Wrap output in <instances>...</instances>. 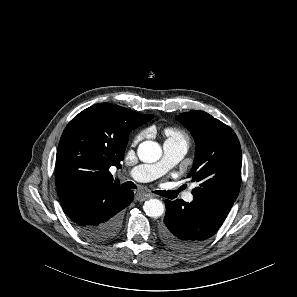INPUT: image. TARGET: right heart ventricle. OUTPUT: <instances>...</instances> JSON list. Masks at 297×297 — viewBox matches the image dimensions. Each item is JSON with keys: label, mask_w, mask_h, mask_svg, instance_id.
Returning <instances> with one entry per match:
<instances>
[{"label": "right heart ventricle", "mask_w": 297, "mask_h": 297, "mask_svg": "<svg viewBox=\"0 0 297 297\" xmlns=\"http://www.w3.org/2000/svg\"><path fill=\"white\" fill-rule=\"evenodd\" d=\"M166 141H180L184 140L188 142V136L180 129L168 128L165 130Z\"/></svg>", "instance_id": "right-heart-ventricle-1"}]
</instances>
